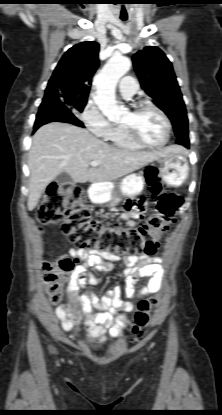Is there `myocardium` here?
Wrapping results in <instances>:
<instances>
[{
	"mask_svg": "<svg viewBox=\"0 0 222 415\" xmlns=\"http://www.w3.org/2000/svg\"><path fill=\"white\" fill-rule=\"evenodd\" d=\"M146 108H150L155 110L163 119V121L165 122L166 125V135L164 140L161 143H157V144H152V143H148L145 140H143L141 138V136L139 135V133L137 132L136 128L132 125V124H122L123 127L125 128L127 134L129 135V137L139 146L144 147V148H149V149H157V148H162L164 146H166L171 138V133H172V123L170 118L168 117V115L157 105H155L152 102L149 101H140L137 102L133 107L131 112L133 114H138L140 111H142L143 109Z\"/></svg>",
	"mask_w": 222,
	"mask_h": 415,
	"instance_id": "f54148a6",
	"label": "myocardium"
}]
</instances>
